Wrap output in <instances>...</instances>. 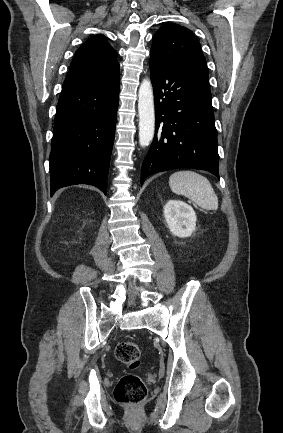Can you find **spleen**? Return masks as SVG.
<instances>
[{"label":"spleen","instance_id":"spleen-1","mask_svg":"<svg viewBox=\"0 0 283 433\" xmlns=\"http://www.w3.org/2000/svg\"><path fill=\"white\" fill-rule=\"evenodd\" d=\"M169 184L172 192L184 194L197 202L201 208L206 210H217L218 198L207 178L192 172V170H179L169 176Z\"/></svg>","mask_w":283,"mask_h":433}]
</instances>
